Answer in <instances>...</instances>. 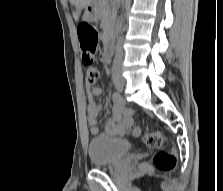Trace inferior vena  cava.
I'll return each mask as SVG.
<instances>
[{
	"mask_svg": "<svg viewBox=\"0 0 223 191\" xmlns=\"http://www.w3.org/2000/svg\"><path fill=\"white\" fill-rule=\"evenodd\" d=\"M122 58H123V50H122L121 44L119 43L116 48V54H115V59L113 63L114 73L119 72L121 68Z\"/></svg>",
	"mask_w": 223,
	"mask_h": 191,
	"instance_id": "1",
	"label": "inferior vena cava"
}]
</instances>
